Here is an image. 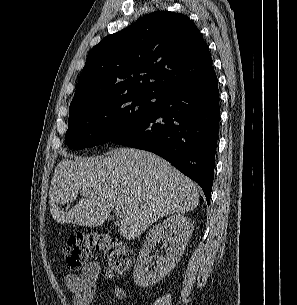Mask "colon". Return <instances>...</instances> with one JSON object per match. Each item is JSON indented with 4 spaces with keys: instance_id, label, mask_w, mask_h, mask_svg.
Wrapping results in <instances>:
<instances>
[{
    "instance_id": "colon-1",
    "label": "colon",
    "mask_w": 297,
    "mask_h": 305,
    "mask_svg": "<svg viewBox=\"0 0 297 305\" xmlns=\"http://www.w3.org/2000/svg\"><path fill=\"white\" fill-rule=\"evenodd\" d=\"M103 252L109 270L117 276L126 274L132 262V255L120 240L94 230L70 237L64 247V263L69 270L81 268L94 252Z\"/></svg>"
}]
</instances>
